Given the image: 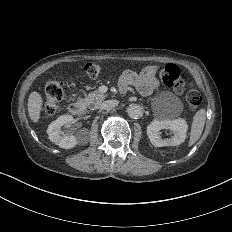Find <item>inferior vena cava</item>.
<instances>
[{
	"mask_svg": "<svg viewBox=\"0 0 232 232\" xmlns=\"http://www.w3.org/2000/svg\"><path fill=\"white\" fill-rule=\"evenodd\" d=\"M118 104H119L118 100H107L100 105V108L103 110H111L112 108L116 107Z\"/></svg>",
	"mask_w": 232,
	"mask_h": 232,
	"instance_id": "inferior-vena-cava-1",
	"label": "inferior vena cava"
}]
</instances>
